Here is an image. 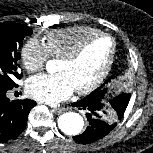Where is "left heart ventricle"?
Instances as JSON below:
<instances>
[{"label": "left heart ventricle", "mask_w": 153, "mask_h": 153, "mask_svg": "<svg viewBox=\"0 0 153 153\" xmlns=\"http://www.w3.org/2000/svg\"><path fill=\"white\" fill-rule=\"evenodd\" d=\"M111 48V41L108 38L96 39L75 61L60 60L57 71L68 76L74 89L86 87L102 72L109 59Z\"/></svg>", "instance_id": "b2bd125f"}]
</instances>
